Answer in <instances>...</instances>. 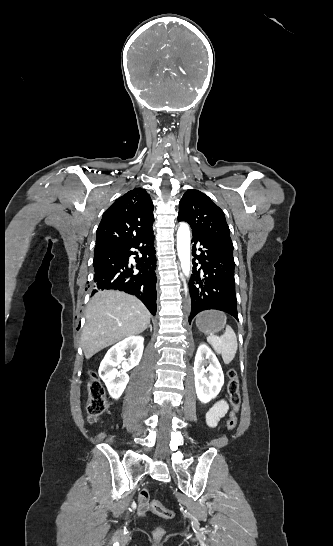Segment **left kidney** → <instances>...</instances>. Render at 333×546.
<instances>
[{
	"mask_svg": "<svg viewBox=\"0 0 333 546\" xmlns=\"http://www.w3.org/2000/svg\"><path fill=\"white\" fill-rule=\"evenodd\" d=\"M193 370L197 397L207 403L220 392L224 374L216 355L205 343L198 347Z\"/></svg>",
	"mask_w": 333,
	"mask_h": 546,
	"instance_id": "obj_1",
	"label": "left kidney"
}]
</instances>
